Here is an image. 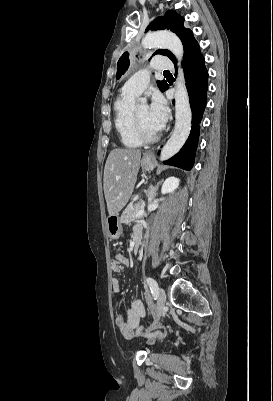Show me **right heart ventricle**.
Listing matches in <instances>:
<instances>
[{
  "mask_svg": "<svg viewBox=\"0 0 273 401\" xmlns=\"http://www.w3.org/2000/svg\"><path fill=\"white\" fill-rule=\"evenodd\" d=\"M136 96L120 94L114 101V125L122 144L129 148H137L143 145L138 137L132 121V103Z\"/></svg>",
  "mask_w": 273,
  "mask_h": 401,
  "instance_id": "1",
  "label": "right heart ventricle"
}]
</instances>
